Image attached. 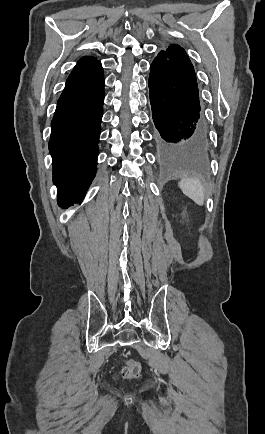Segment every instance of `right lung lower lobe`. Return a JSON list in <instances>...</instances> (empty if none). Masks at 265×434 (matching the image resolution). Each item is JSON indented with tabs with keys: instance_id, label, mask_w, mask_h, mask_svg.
I'll list each match as a JSON object with an SVG mask.
<instances>
[{
	"instance_id": "1",
	"label": "right lung lower lobe",
	"mask_w": 265,
	"mask_h": 434,
	"mask_svg": "<svg viewBox=\"0 0 265 434\" xmlns=\"http://www.w3.org/2000/svg\"><path fill=\"white\" fill-rule=\"evenodd\" d=\"M102 70L95 57H82L57 102L49 150L62 207L80 202L95 176L104 102Z\"/></svg>"
}]
</instances>
